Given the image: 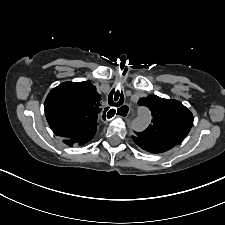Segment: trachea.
I'll return each instance as SVG.
<instances>
[{"label":"trachea","instance_id":"3493384b","mask_svg":"<svg viewBox=\"0 0 225 225\" xmlns=\"http://www.w3.org/2000/svg\"><path fill=\"white\" fill-rule=\"evenodd\" d=\"M123 102H124V95L122 92H120L119 90H117V91L112 90L110 92L109 97H108L109 105L118 107V106H121L123 104ZM123 108H124V106H122L119 110H122ZM114 114H115V110L112 109L108 112L107 115L109 117H112V116H114Z\"/></svg>","mask_w":225,"mask_h":225}]
</instances>
